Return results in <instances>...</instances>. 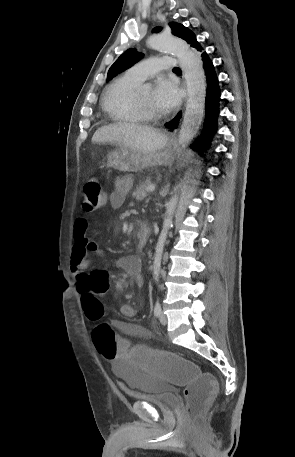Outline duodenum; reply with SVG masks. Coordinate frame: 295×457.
Masks as SVG:
<instances>
[{
	"label": "duodenum",
	"instance_id": "410a0bca",
	"mask_svg": "<svg viewBox=\"0 0 295 457\" xmlns=\"http://www.w3.org/2000/svg\"><path fill=\"white\" fill-rule=\"evenodd\" d=\"M138 227H139V246L143 247L149 239L150 229L142 221L138 223Z\"/></svg>",
	"mask_w": 295,
	"mask_h": 457
}]
</instances>
